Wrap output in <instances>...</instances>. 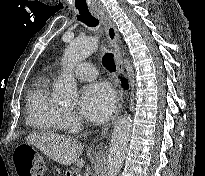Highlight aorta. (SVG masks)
<instances>
[{
    "mask_svg": "<svg viewBox=\"0 0 205 176\" xmlns=\"http://www.w3.org/2000/svg\"><path fill=\"white\" fill-rule=\"evenodd\" d=\"M98 49V41L95 38L75 39L69 43L64 55V63L68 67L62 73L56 84V97L64 102L71 103L77 99V84L72 75L73 66L85 60ZM132 131V118L130 115L121 116L116 122L107 160V176H117L120 172L128 149V143Z\"/></svg>",
    "mask_w": 205,
    "mask_h": 176,
    "instance_id": "aorta-1",
    "label": "aorta"
}]
</instances>
